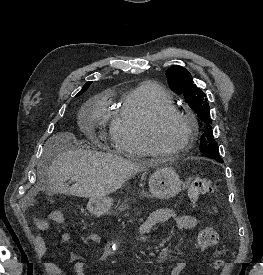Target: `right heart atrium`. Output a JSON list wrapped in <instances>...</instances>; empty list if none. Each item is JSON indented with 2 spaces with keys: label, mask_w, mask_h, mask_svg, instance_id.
Segmentation results:
<instances>
[{
  "label": "right heart atrium",
  "mask_w": 263,
  "mask_h": 275,
  "mask_svg": "<svg viewBox=\"0 0 263 275\" xmlns=\"http://www.w3.org/2000/svg\"><path fill=\"white\" fill-rule=\"evenodd\" d=\"M101 104H103V102H101ZM100 106H101V105H100ZM97 112H98V114H101V112H100L99 110H98Z\"/></svg>",
  "instance_id": "1"
}]
</instances>
